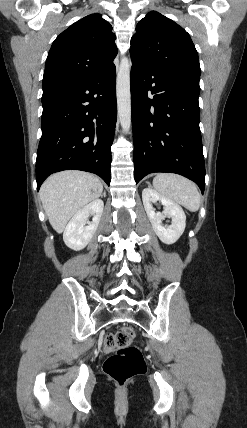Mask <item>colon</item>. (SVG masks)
Listing matches in <instances>:
<instances>
[{
    "instance_id": "5ec220e1",
    "label": "colon",
    "mask_w": 247,
    "mask_h": 428,
    "mask_svg": "<svg viewBox=\"0 0 247 428\" xmlns=\"http://www.w3.org/2000/svg\"><path fill=\"white\" fill-rule=\"evenodd\" d=\"M135 332L123 327L114 334L106 335L104 345L113 353L103 365L104 372L117 384L124 385L133 377L144 373L146 366L140 349L131 345Z\"/></svg>"
}]
</instances>
